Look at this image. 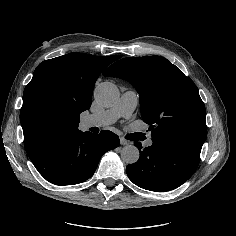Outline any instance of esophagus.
I'll list each match as a JSON object with an SVG mask.
<instances>
[{"label":"esophagus","mask_w":236,"mask_h":236,"mask_svg":"<svg viewBox=\"0 0 236 236\" xmlns=\"http://www.w3.org/2000/svg\"><path fill=\"white\" fill-rule=\"evenodd\" d=\"M120 144L121 145H126L127 144V140L125 138H120Z\"/></svg>","instance_id":"1"}]
</instances>
